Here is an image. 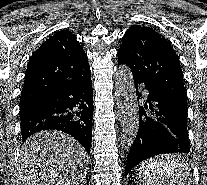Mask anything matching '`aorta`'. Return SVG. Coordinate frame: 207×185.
<instances>
[{"instance_id":"1","label":"aorta","mask_w":207,"mask_h":185,"mask_svg":"<svg viewBox=\"0 0 207 185\" xmlns=\"http://www.w3.org/2000/svg\"><path fill=\"white\" fill-rule=\"evenodd\" d=\"M115 90L120 113L121 145L129 151L139 129V110L133 75L127 65L119 66L115 74Z\"/></svg>"}]
</instances>
